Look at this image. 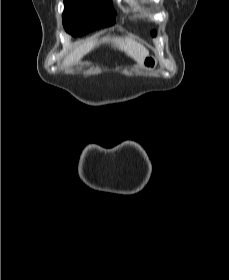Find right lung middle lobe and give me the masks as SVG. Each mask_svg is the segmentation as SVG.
Returning a JSON list of instances; mask_svg holds the SVG:
<instances>
[{
    "label": "right lung middle lobe",
    "instance_id": "dd1d6c3e",
    "mask_svg": "<svg viewBox=\"0 0 229 280\" xmlns=\"http://www.w3.org/2000/svg\"><path fill=\"white\" fill-rule=\"evenodd\" d=\"M64 5L63 26L75 37L111 26L116 21L111 0H64Z\"/></svg>",
    "mask_w": 229,
    "mask_h": 280
}]
</instances>
